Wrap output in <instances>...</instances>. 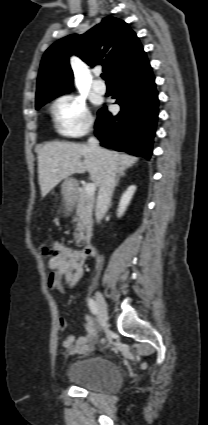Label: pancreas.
I'll list each match as a JSON object with an SVG mask.
<instances>
[{
  "label": "pancreas",
  "instance_id": "obj_1",
  "mask_svg": "<svg viewBox=\"0 0 208 425\" xmlns=\"http://www.w3.org/2000/svg\"><path fill=\"white\" fill-rule=\"evenodd\" d=\"M95 198L86 193V188H83L77 200L76 216L74 222H77L75 232L73 234L76 241V246L81 244L92 231V212L94 208Z\"/></svg>",
  "mask_w": 208,
  "mask_h": 425
}]
</instances>
